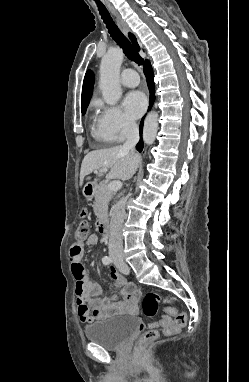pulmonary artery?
Wrapping results in <instances>:
<instances>
[{
    "instance_id": "1",
    "label": "pulmonary artery",
    "mask_w": 249,
    "mask_h": 382,
    "mask_svg": "<svg viewBox=\"0 0 249 382\" xmlns=\"http://www.w3.org/2000/svg\"><path fill=\"white\" fill-rule=\"evenodd\" d=\"M120 80L126 87H136L139 84V76L133 69H125Z\"/></svg>"
}]
</instances>
